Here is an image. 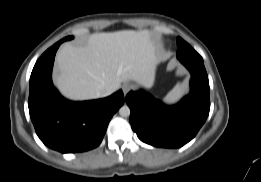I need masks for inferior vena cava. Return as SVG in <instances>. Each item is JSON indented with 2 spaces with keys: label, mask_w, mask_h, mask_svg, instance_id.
Returning <instances> with one entry per match:
<instances>
[{
  "label": "inferior vena cava",
  "mask_w": 261,
  "mask_h": 182,
  "mask_svg": "<svg viewBox=\"0 0 261 182\" xmlns=\"http://www.w3.org/2000/svg\"><path fill=\"white\" fill-rule=\"evenodd\" d=\"M113 93V90L111 89V88H106L105 90H103L101 93H100V95L102 96V97H105V96H108V95H110V94H112Z\"/></svg>",
  "instance_id": "obj_1"
}]
</instances>
